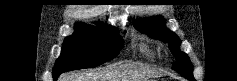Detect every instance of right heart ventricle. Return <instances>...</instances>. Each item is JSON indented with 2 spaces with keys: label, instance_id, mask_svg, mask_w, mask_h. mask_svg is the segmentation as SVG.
Listing matches in <instances>:
<instances>
[{
  "label": "right heart ventricle",
  "instance_id": "right-heart-ventricle-1",
  "mask_svg": "<svg viewBox=\"0 0 237 81\" xmlns=\"http://www.w3.org/2000/svg\"><path fill=\"white\" fill-rule=\"evenodd\" d=\"M141 51L146 55V56H148V57H150V58H154V55H153V53L150 51V49H148L147 47H142L141 48Z\"/></svg>",
  "mask_w": 237,
  "mask_h": 81
}]
</instances>
